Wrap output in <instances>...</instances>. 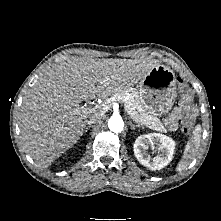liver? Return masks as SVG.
Instances as JSON below:
<instances>
[{
    "label": "liver",
    "mask_w": 221,
    "mask_h": 221,
    "mask_svg": "<svg viewBox=\"0 0 221 221\" xmlns=\"http://www.w3.org/2000/svg\"><path fill=\"white\" fill-rule=\"evenodd\" d=\"M158 63L151 59L73 57L54 65L31 87L20 108V135L27 153L46 168L82 136L87 118L81 101L108 97L138 83Z\"/></svg>",
    "instance_id": "obj_1"
}]
</instances>
